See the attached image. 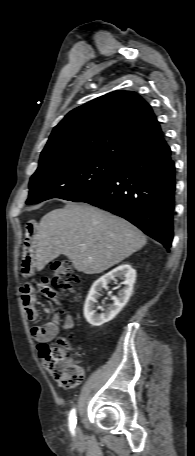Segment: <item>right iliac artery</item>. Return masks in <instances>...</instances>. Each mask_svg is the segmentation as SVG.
<instances>
[{
  "instance_id": "1",
  "label": "right iliac artery",
  "mask_w": 195,
  "mask_h": 456,
  "mask_svg": "<svg viewBox=\"0 0 195 456\" xmlns=\"http://www.w3.org/2000/svg\"><path fill=\"white\" fill-rule=\"evenodd\" d=\"M76 425V410L72 409L69 414V426L72 434L75 433L74 428Z\"/></svg>"
}]
</instances>
